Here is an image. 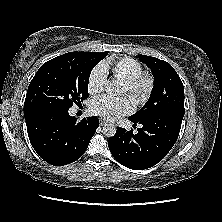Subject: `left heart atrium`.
I'll return each mask as SVG.
<instances>
[{
	"label": "left heart atrium",
	"mask_w": 222,
	"mask_h": 222,
	"mask_svg": "<svg viewBox=\"0 0 222 222\" xmlns=\"http://www.w3.org/2000/svg\"><path fill=\"white\" fill-rule=\"evenodd\" d=\"M91 110L106 120H115L131 110L130 101L124 96L103 95L93 100Z\"/></svg>",
	"instance_id": "left-heart-atrium-1"
}]
</instances>
